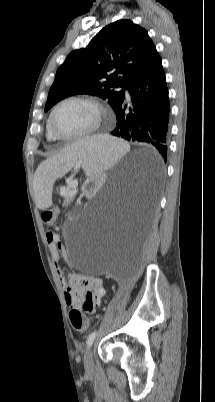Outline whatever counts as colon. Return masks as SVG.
<instances>
[{
  "mask_svg": "<svg viewBox=\"0 0 215 402\" xmlns=\"http://www.w3.org/2000/svg\"><path fill=\"white\" fill-rule=\"evenodd\" d=\"M57 215L58 211L56 209H52L43 212L42 218L46 223H53ZM84 309L89 312H92L94 309L89 295L85 300ZM69 317L71 324L75 330L79 332H84L87 329V319L79 309L73 308L69 313Z\"/></svg>",
  "mask_w": 215,
  "mask_h": 402,
  "instance_id": "colon-1",
  "label": "colon"
}]
</instances>
